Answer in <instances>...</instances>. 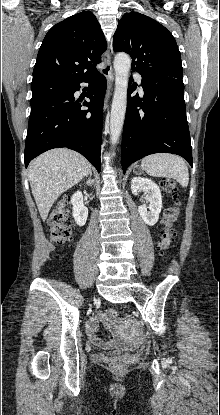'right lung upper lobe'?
Wrapping results in <instances>:
<instances>
[{"instance_id": "cb5924a9", "label": "right lung upper lobe", "mask_w": 220, "mask_h": 415, "mask_svg": "<svg viewBox=\"0 0 220 415\" xmlns=\"http://www.w3.org/2000/svg\"><path fill=\"white\" fill-rule=\"evenodd\" d=\"M106 40L95 15L75 14L54 25L39 49L32 83L48 80L73 83L97 73Z\"/></svg>"}]
</instances>
